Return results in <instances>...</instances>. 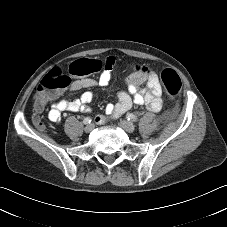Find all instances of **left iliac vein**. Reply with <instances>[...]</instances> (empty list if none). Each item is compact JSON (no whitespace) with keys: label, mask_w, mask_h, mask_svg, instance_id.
Masks as SVG:
<instances>
[{"label":"left iliac vein","mask_w":227,"mask_h":227,"mask_svg":"<svg viewBox=\"0 0 227 227\" xmlns=\"http://www.w3.org/2000/svg\"><path fill=\"white\" fill-rule=\"evenodd\" d=\"M119 125L129 133H133L136 130L135 125L129 121H120Z\"/></svg>","instance_id":"left-iliac-vein-1"}]
</instances>
